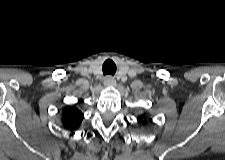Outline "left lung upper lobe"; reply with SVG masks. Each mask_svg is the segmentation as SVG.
<instances>
[{"label":"left lung upper lobe","instance_id":"obj_1","mask_svg":"<svg viewBox=\"0 0 225 160\" xmlns=\"http://www.w3.org/2000/svg\"><path fill=\"white\" fill-rule=\"evenodd\" d=\"M137 120H138L139 123L143 124L145 122V117L144 116H140V117H138Z\"/></svg>","mask_w":225,"mask_h":160}]
</instances>
